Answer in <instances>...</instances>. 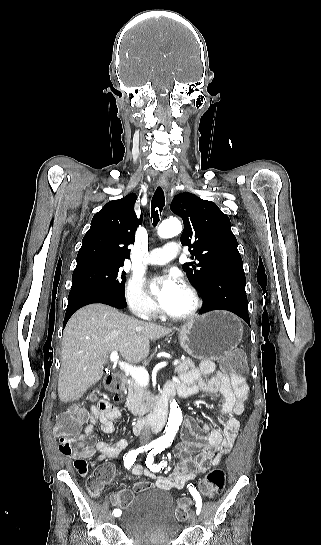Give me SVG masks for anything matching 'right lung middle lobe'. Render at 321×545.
Returning <instances> with one entry per match:
<instances>
[{
	"label": "right lung middle lobe",
	"mask_w": 321,
	"mask_h": 545,
	"mask_svg": "<svg viewBox=\"0 0 321 545\" xmlns=\"http://www.w3.org/2000/svg\"><path fill=\"white\" fill-rule=\"evenodd\" d=\"M120 265L96 264L75 268L72 288L77 286L98 287L125 295V272Z\"/></svg>",
	"instance_id": "dd1d6c3e"
}]
</instances>
